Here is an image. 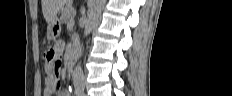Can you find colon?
<instances>
[{
	"instance_id": "1",
	"label": "colon",
	"mask_w": 232,
	"mask_h": 96,
	"mask_svg": "<svg viewBox=\"0 0 232 96\" xmlns=\"http://www.w3.org/2000/svg\"><path fill=\"white\" fill-rule=\"evenodd\" d=\"M46 59L49 63L50 70L53 74H58L62 67V59L58 47L50 49L46 53Z\"/></svg>"
}]
</instances>
